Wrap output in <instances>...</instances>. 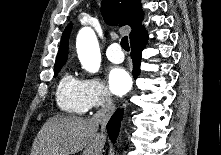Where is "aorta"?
I'll return each mask as SVG.
<instances>
[{
    "mask_svg": "<svg viewBox=\"0 0 221 155\" xmlns=\"http://www.w3.org/2000/svg\"><path fill=\"white\" fill-rule=\"evenodd\" d=\"M76 48L83 68L90 73L98 72L101 53L95 32L90 27H84L79 31Z\"/></svg>",
    "mask_w": 221,
    "mask_h": 155,
    "instance_id": "obj_1",
    "label": "aorta"
}]
</instances>
